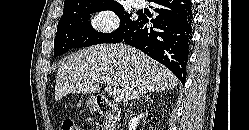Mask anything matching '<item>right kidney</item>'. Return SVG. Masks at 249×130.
Returning <instances> with one entry per match:
<instances>
[{
	"label": "right kidney",
	"instance_id": "right-kidney-1",
	"mask_svg": "<svg viewBox=\"0 0 249 130\" xmlns=\"http://www.w3.org/2000/svg\"><path fill=\"white\" fill-rule=\"evenodd\" d=\"M145 116H147V113H146V114L140 113V114H138L137 116L131 118V120H130L129 123H128V127H129L128 129H129V130H136V128H137V126H138L140 120H141L142 118H144Z\"/></svg>",
	"mask_w": 249,
	"mask_h": 130
}]
</instances>
